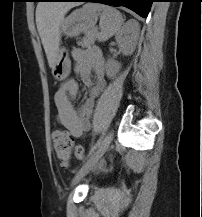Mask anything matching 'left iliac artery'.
Wrapping results in <instances>:
<instances>
[{"mask_svg":"<svg viewBox=\"0 0 202 217\" xmlns=\"http://www.w3.org/2000/svg\"><path fill=\"white\" fill-rule=\"evenodd\" d=\"M104 138V134L97 140V142L91 147L88 155H87V158L90 157V155L100 146L102 140ZM86 158V159H87Z\"/></svg>","mask_w":202,"mask_h":217,"instance_id":"1","label":"left iliac artery"}]
</instances>
